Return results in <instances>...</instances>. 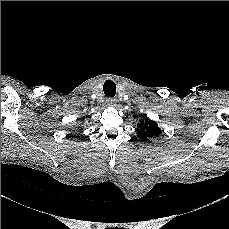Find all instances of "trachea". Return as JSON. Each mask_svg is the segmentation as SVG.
Listing matches in <instances>:
<instances>
[{"mask_svg": "<svg viewBox=\"0 0 229 229\" xmlns=\"http://www.w3.org/2000/svg\"><path fill=\"white\" fill-rule=\"evenodd\" d=\"M103 91L105 96L114 97L116 94V85L113 81L107 80L103 85Z\"/></svg>", "mask_w": 229, "mask_h": 229, "instance_id": "obj_1", "label": "trachea"}]
</instances>
